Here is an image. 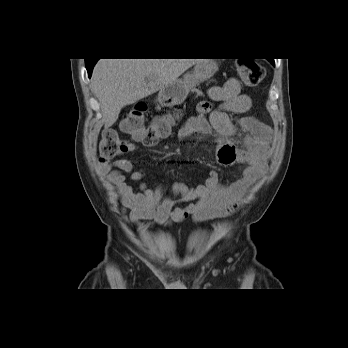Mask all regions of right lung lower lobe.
<instances>
[{"label":"right lung lower lobe","mask_w":348,"mask_h":348,"mask_svg":"<svg viewBox=\"0 0 348 348\" xmlns=\"http://www.w3.org/2000/svg\"><path fill=\"white\" fill-rule=\"evenodd\" d=\"M96 61H97V59H93V60L85 59L86 68H87L89 77L91 76L92 69H93V66L95 65Z\"/></svg>","instance_id":"1"}]
</instances>
